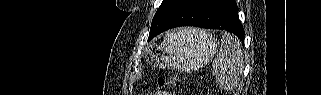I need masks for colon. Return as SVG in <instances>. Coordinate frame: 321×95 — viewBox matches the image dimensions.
Instances as JSON below:
<instances>
[{"label": "colon", "instance_id": "colon-1", "mask_svg": "<svg viewBox=\"0 0 321 95\" xmlns=\"http://www.w3.org/2000/svg\"><path fill=\"white\" fill-rule=\"evenodd\" d=\"M179 81L180 79L177 76H169V77L160 76L157 78V83L159 85L175 84V83H178Z\"/></svg>", "mask_w": 321, "mask_h": 95}]
</instances>
